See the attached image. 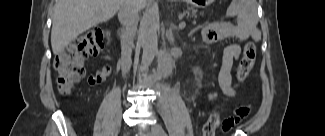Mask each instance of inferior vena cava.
<instances>
[{
    "mask_svg": "<svg viewBox=\"0 0 325 136\" xmlns=\"http://www.w3.org/2000/svg\"><path fill=\"white\" fill-rule=\"evenodd\" d=\"M138 6L139 0H123L119 7V20L125 27L124 41L122 42L123 76L129 71L131 65V37L138 24Z\"/></svg>",
    "mask_w": 325,
    "mask_h": 136,
    "instance_id": "602c4592",
    "label": "inferior vena cava"
}]
</instances>
